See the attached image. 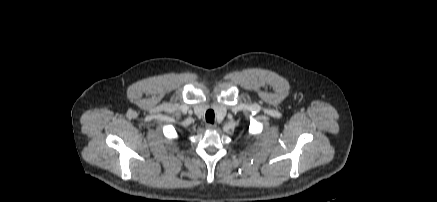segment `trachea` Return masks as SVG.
<instances>
[{
    "mask_svg": "<svg viewBox=\"0 0 437 202\" xmlns=\"http://www.w3.org/2000/svg\"><path fill=\"white\" fill-rule=\"evenodd\" d=\"M206 121L213 124L214 123V111L213 110H208L206 112Z\"/></svg>",
    "mask_w": 437,
    "mask_h": 202,
    "instance_id": "trachea-1",
    "label": "trachea"
}]
</instances>
